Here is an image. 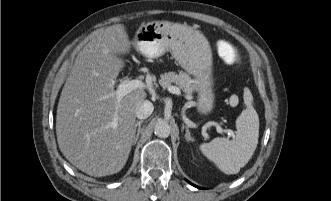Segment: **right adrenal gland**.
I'll use <instances>...</instances> for the list:
<instances>
[{"instance_id": "1", "label": "right adrenal gland", "mask_w": 331, "mask_h": 201, "mask_svg": "<svg viewBox=\"0 0 331 201\" xmlns=\"http://www.w3.org/2000/svg\"><path fill=\"white\" fill-rule=\"evenodd\" d=\"M142 123H143V120L137 121V122L135 123L133 145H135L136 142L138 141L139 133H140V129H141V124H142Z\"/></svg>"}]
</instances>
